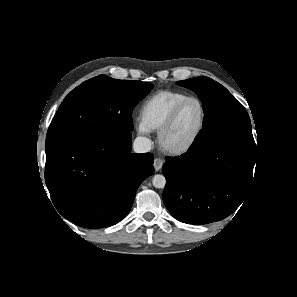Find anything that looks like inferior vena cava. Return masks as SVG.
<instances>
[{"label": "inferior vena cava", "mask_w": 297, "mask_h": 297, "mask_svg": "<svg viewBox=\"0 0 297 297\" xmlns=\"http://www.w3.org/2000/svg\"><path fill=\"white\" fill-rule=\"evenodd\" d=\"M151 149V141L146 137H137L133 143V150L135 153H146Z\"/></svg>", "instance_id": "602c4592"}]
</instances>
